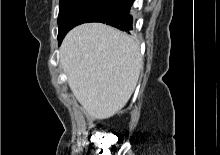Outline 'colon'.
I'll use <instances>...</instances> for the list:
<instances>
[{
	"label": "colon",
	"mask_w": 220,
	"mask_h": 155,
	"mask_svg": "<svg viewBox=\"0 0 220 155\" xmlns=\"http://www.w3.org/2000/svg\"><path fill=\"white\" fill-rule=\"evenodd\" d=\"M100 142L103 143H94V148H100L99 155H110L108 152L109 147L112 145V140L109 136H101Z\"/></svg>",
	"instance_id": "5ec220e1"
}]
</instances>
